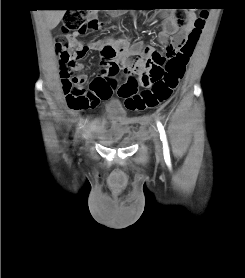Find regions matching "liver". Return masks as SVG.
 I'll return each mask as SVG.
<instances>
[{"label":"liver","mask_w":245,"mask_h":278,"mask_svg":"<svg viewBox=\"0 0 245 278\" xmlns=\"http://www.w3.org/2000/svg\"><path fill=\"white\" fill-rule=\"evenodd\" d=\"M43 14L46 26L49 29H54L62 20L65 10H45Z\"/></svg>","instance_id":"obj_1"}]
</instances>
